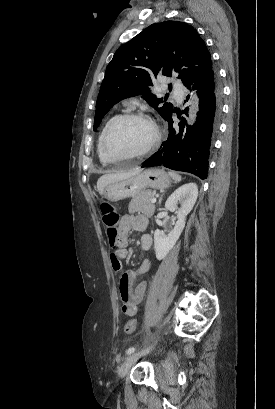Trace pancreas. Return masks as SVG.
<instances>
[{"label":"pancreas","instance_id":"obj_1","mask_svg":"<svg viewBox=\"0 0 275 409\" xmlns=\"http://www.w3.org/2000/svg\"><path fill=\"white\" fill-rule=\"evenodd\" d=\"M154 196V192L152 190H142L136 196H133L130 205H129V213L133 215V213H144L146 217H152L155 211V205H152V198Z\"/></svg>","mask_w":275,"mask_h":409}]
</instances>
